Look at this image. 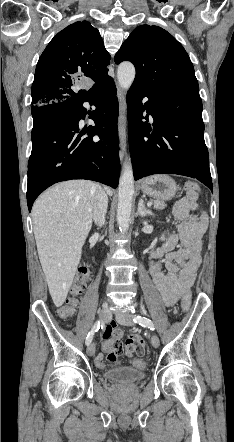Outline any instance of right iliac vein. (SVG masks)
<instances>
[{
	"instance_id": "obj_1",
	"label": "right iliac vein",
	"mask_w": 234,
	"mask_h": 442,
	"mask_svg": "<svg viewBox=\"0 0 234 442\" xmlns=\"http://www.w3.org/2000/svg\"><path fill=\"white\" fill-rule=\"evenodd\" d=\"M100 319H101L104 323L108 322L109 319H110V312H109V310H108V304H107V303H104V304H103V309H102V311L100 312ZM87 354H88L89 356H93V355L95 354V343H94V342H93V343H90V344L88 345V347H87Z\"/></svg>"
}]
</instances>
